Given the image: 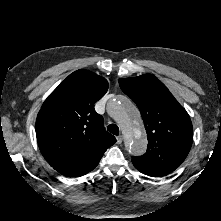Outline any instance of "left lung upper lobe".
Instances as JSON below:
<instances>
[{"mask_svg": "<svg viewBox=\"0 0 221 221\" xmlns=\"http://www.w3.org/2000/svg\"><path fill=\"white\" fill-rule=\"evenodd\" d=\"M122 91L138 106L148 134V148L133 165L146 175H167L180 166L193 141L186 110L155 76L119 79Z\"/></svg>", "mask_w": 221, "mask_h": 221, "instance_id": "1", "label": "left lung upper lobe"}]
</instances>
